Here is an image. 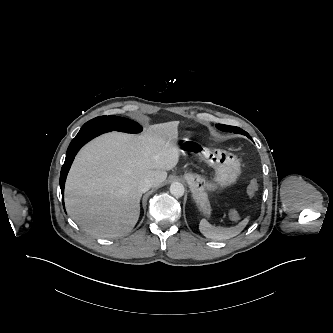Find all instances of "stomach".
I'll return each mask as SVG.
<instances>
[{"label":"stomach","mask_w":333,"mask_h":333,"mask_svg":"<svg viewBox=\"0 0 333 333\" xmlns=\"http://www.w3.org/2000/svg\"><path fill=\"white\" fill-rule=\"evenodd\" d=\"M183 146L215 170L213 180L192 172H186L183 176L190 187L195 203L203 214L210 216L208 192L233 184L240 174V162L233 153L220 149H203L188 139H185Z\"/></svg>","instance_id":"stomach-1"}]
</instances>
